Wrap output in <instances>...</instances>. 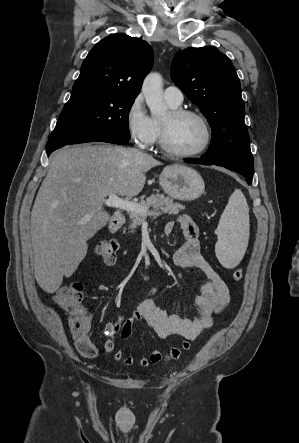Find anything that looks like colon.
<instances>
[{
    "label": "colon",
    "mask_w": 299,
    "mask_h": 443,
    "mask_svg": "<svg viewBox=\"0 0 299 443\" xmlns=\"http://www.w3.org/2000/svg\"><path fill=\"white\" fill-rule=\"evenodd\" d=\"M118 244L115 240L105 239L97 243L95 253L106 265H112L116 261ZM232 277L235 281L243 278V271L237 268ZM83 297V285L80 282H71L62 286L55 294L54 301L67 315L68 326L75 336L84 335L88 332L90 322L85 314L80 311Z\"/></svg>",
    "instance_id": "colon-1"
}]
</instances>
